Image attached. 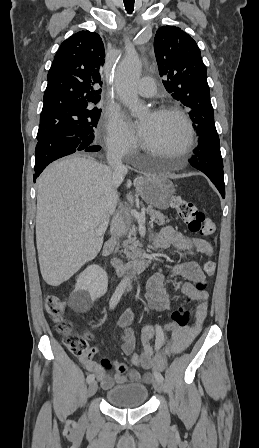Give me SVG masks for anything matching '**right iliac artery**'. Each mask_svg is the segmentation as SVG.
I'll list each match as a JSON object with an SVG mask.
<instances>
[{"mask_svg":"<svg viewBox=\"0 0 259 448\" xmlns=\"http://www.w3.org/2000/svg\"><path fill=\"white\" fill-rule=\"evenodd\" d=\"M125 288H126V285L123 284V283H121V284H119V285L117 286L115 292L113 293V295H112V297H111L110 303H109L110 309H114V308H115V306H116L117 303L119 302V300H120L122 294L124 293ZM94 379H95L94 374H89V375L87 376V382H88V383L93 382Z\"/></svg>","mask_w":259,"mask_h":448,"instance_id":"1","label":"right iliac artery"}]
</instances>
